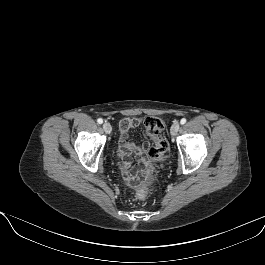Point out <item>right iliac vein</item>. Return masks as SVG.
Wrapping results in <instances>:
<instances>
[{
    "label": "right iliac vein",
    "mask_w": 265,
    "mask_h": 265,
    "mask_svg": "<svg viewBox=\"0 0 265 265\" xmlns=\"http://www.w3.org/2000/svg\"><path fill=\"white\" fill-rule=\"evenodd\" d=\"M103 129H104V131H105L107 134H110L111 131H112V127H111V125H110L108 122H105V123L103 124Z\"/></svg>",
    "instance_id": "obj_1"
}]
</instances>
